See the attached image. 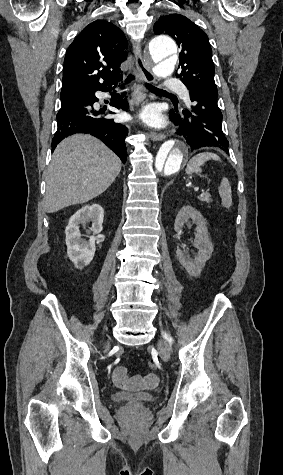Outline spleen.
Instances as JSON below:
<instances>
[{"label": "spleen", "mask_w": 283, "mask_h": 475, "mask_svg": "<svg viewBox=\"0 0 283 475\" xmlns=\"http://www.w3.org/2000/svg\"><path fill=\"white\" fill-rule=\"evenodd\" d=\"M208 160L221 162V158H219L217 154H212V152H202V154H197V156H194V158L189 160L186 166V174H194V172L195 174H198V172H202L201 166H204L205 162H208ZM218 190L222 206H224V208H230V206H232V192L227 178H222Z\"/></svg>", "instance_id": "obj_1"}]
</instances>
